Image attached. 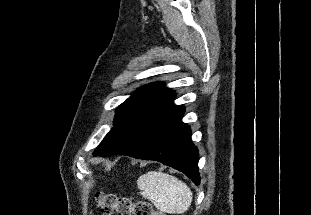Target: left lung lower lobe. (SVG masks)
<instances>
[{"label": "left lung lower lobe", "mask_w": 311, "mask_h": 215, "mask_svg": "<svg viewBox=\"0 0 311 215\" xmlns=\"http://www.w3.org/2000/svg\"><path fill=\"white\" fill-rule=\"evenodd\" d=\"M184 111L183 106L171 101L118 154L159 161L183 172L199 185L198 150L191 143L189 126L181 121Z\"/></svg>", "instance_id": "left-lung-lower-lobe-1"}]
</instances>
